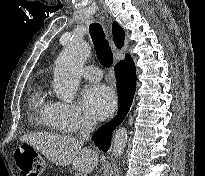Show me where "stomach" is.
I'll return each mask as SVG.
<instances>
[{"label": "stomach", "mask_w": 205, "mask_h": 176, "mask_svg": "<svg viewBox=\"0 0 205 176\" xmlns=\"http://www.w3.org/2000/svg\"><path fill=\"white\" fill-rule=\"evenodd\" d=\"M19 148H20V149L31 148L33 151L37 152L34 147H32V146H30V145H28V144H21V145L19 146Z\"/></svg>", "instance_id": "0dacf381"}]
</instances>
